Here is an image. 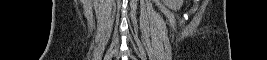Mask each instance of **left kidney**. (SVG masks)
<instances>
[{"label":"left kidney","mask_w":267,"mask_h":60,"mask_svg":"<svg viewBox=\"0 0 267 60\" xmlns=\"http://www.w3.org/2000/svg\"><path fill=\"white\" fill-rule=\"evenodd\" d=\"M164 3L172 10H179L182 5V0H164Z\"/></svg>","instance_id":"5707ae66"}]
</instances>
